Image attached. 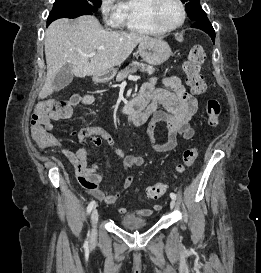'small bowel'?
I'll list each match as a JSON object with an SVG mask.
<instances>
[{"label":"small bowel","mask_w":261,"mask_h":273,"mask_svg":"<svg viewBox=\"0 0 261 273\" xmlns=\"http://www.w3.org/2000/svg\"><path fill=\"white\" fill-rule=\"evenodd\" d=\"M156 82V79H151L144 83L140 92V96L149 99L150 108L154 110L146 133L154 150L157 152H170L177 146L178 137L190 140L194 136V129L190 125V120L197 112L198 101L192 94L187 92L179 77L171 76L160 80V83L170 88L172 92L156 90ZM77 98V103L81 101L86 105L92 104L94 101L91 94H84L81 97L77 96ZM157 106H162L163 109L155 110ZM60 119L63 118L58 113H51L46 121V129L52 130V121ZM158 123H164L168 130V138L164 143H158L155 140V129ZM76 135L83 147L76 152L63 149V155L73 164L80 184L90 195L108 205L115 206L121 194L133 185V177L129 172L130 168L143 166L145 159L141 156L125 154L116 146L113 137L102 128L84 127L76 132ZM104 143L112 148L126 172L123 188L113 194L103 191L100 187V182L104 178V173L101 171V161L96 159L90 166L87 163L93 151L100 148ZM160 208V205H154L152 208L137 210V213L148 216L154 210L157 211ZM116 210L120 214L127 212L126 208L122 206H116Z\"/></svg>","instance_id":"1"}]
</instances>
